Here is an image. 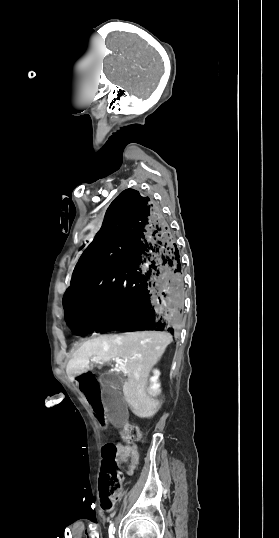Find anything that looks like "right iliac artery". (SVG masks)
Masks as SVG:
<instances>
[{
    "label": "right iliac artery",
    "mask_w": 279,
    "mask_h": 538,
    "mask_svg": "<svg viewBox=\"0 0 279 538\" xmlns=\"http://www.w3.org/2000/svg\"><path fill=\"white\" fill-rule=\"evenodd\" d=\"M114 532H115L114 525L111 524V525L109 526V538H114Z\"/></svg>",
    "instance_id": "1"
}]
</instances>
